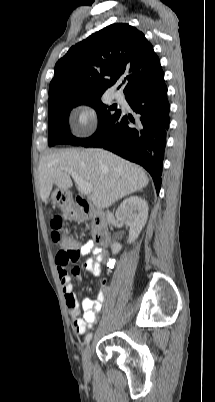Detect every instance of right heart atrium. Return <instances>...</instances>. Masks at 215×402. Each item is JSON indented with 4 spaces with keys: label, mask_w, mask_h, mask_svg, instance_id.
Segmentation results:
<instances>
[{
    "label": "right heart atrium",
    "mask_w": 215,
    "mask_h": 402,
    "mask_svg": "<svg viewBox=\"0 0 215 402\" xmlns=\"http://www.w3.org/2000/svg\"><path fill=\"white\" fill-rule=\"evenodd\" d=\"M73 129L79 136L88 135L96 124V113L87 105H79L73 110Z\"/></svg>",
    "instance_id": "1"
}]
</instances>
